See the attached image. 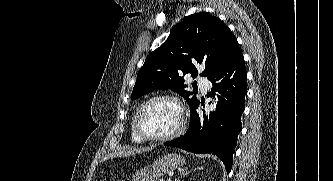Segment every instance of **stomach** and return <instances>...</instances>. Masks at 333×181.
<instances>
[{"label": "stomach", "instance_id": "obj_1", "mask_svg": "<svg viewBox=\"0 0 333 181\" xmlns=\"http://www.w3.org/2000/svg\"><path fill=\"white\" fill-rule=\"evenodd\" d=\"M185 158L179 154H165L155 160L152 164L144 166L135 172L132 181H156L169 172L182 167Z\"/></svg>", "mask_w": 333, "mask_h": 181}]
</instances>
